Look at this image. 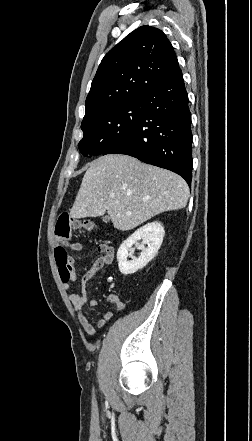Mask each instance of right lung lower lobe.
<instances>
[{
	"label": "right lung lower lobe",
	"mask_w": 252,
	"mask_h": 441,
	"mask_svg": "<svg viewBox=\"0 0 252 441\" xmlns=\"http://www.w3.org/2000/svg\"><path fill=\"white\" fill-rule=\"evenodd\" d=\"M136 126L106 154H126L192 180V132L188 94L181 69L141 98Z\"/></svg>",
	"instance_id": "right-lung-lower-lobe-1"
}]
</instances>
